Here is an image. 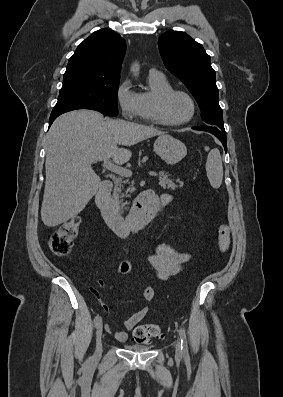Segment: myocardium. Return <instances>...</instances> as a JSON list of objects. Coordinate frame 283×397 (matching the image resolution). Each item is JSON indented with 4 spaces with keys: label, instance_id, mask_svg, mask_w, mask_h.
Here are the masks:
<instances>
[{
    "label": "myocardium",
    "instance_id": "1",
    "mask_svg": "<svg viewBox=\"0 0 283 397\" xmlns=\"http://www.w3.org/2000/svg\"><path fill=\"white\" fill-rule=\"evenodd\" d=\"M175 94H181L183 96H185L190 104H191V114L184 120H180V121H169L166 116H165V106L167 101ZM196 103L195 100L193 99V97L186 91L184 90H180V89H170L167 90L165 92H163L157 99L154 105V118L155 121L163 126H167V127H177V126H182L184 124H187L188 122H190L193 117L196 114Z\"/></svg>",
    "mask_w": 283,
    "mask_h": 397
}]
</instances>
